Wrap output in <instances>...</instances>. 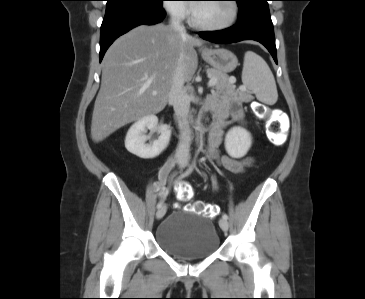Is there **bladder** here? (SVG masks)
<instances>
[{"instance_id":"obj_1","label":"bladder","mask_w":365,"mask_h":299,"mask_svg":"<svg viewBox=\"0 0 365 299\" xmlns=\"http://www.w3.org/2000/svg\"><path fill=\"white\" fill-rule=\"evenodd\" d=\"M157 245L180 259L206 258L220 246L213 220L199 213L175 209L155 231Z\"/></svg>"}]
</instances>
